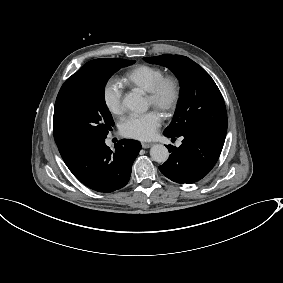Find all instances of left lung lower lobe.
<instances>
[{
	"label": "left lung lower lobe",
	"instance_id": "left-lung-lower-lobe-1",
	"mask_svg": "<svg viewBox=\"0 0 283 283\" xmlns=\"http://www.w3.org/2000/svg\"><path fill=\"white\" fill-rule=\"evenodd\" d=\"M180 136L184 138L182 144L168 146L171 154L159 170L174 182L191 184L205 177L214 167L226 134L187 132Z\"/></svg>",
	"mask_w": 283,
	"mask_h": 283
}]
</instances>
